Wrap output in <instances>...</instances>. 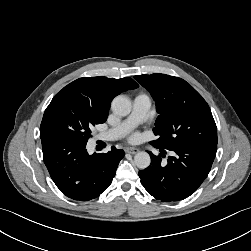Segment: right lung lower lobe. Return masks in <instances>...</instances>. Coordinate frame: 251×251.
<instances>
[{
  "label": "right lung lower lobe",
  "mask_w": 251,
  "mask_h": 251,
  "mask_svg": "<svg viewBox=\"0 0 251 251\" xmlns=\"http://www.w3.org/2000/svg\"><path fill=\"white\" fill-rule=\"evenodd\" d=\"M45 165L56 186L67 197L86 201L104 192L113 177L123 150L89 155L86 144L66 138L41 139Z\"/></svg>",
  "instance_id": "1"
}]
</instances>
